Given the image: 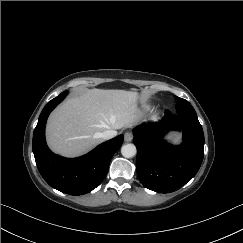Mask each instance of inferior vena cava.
<instances>
[{
    "label": "inferior vena cava",
    "mask_w": 243,
    "mask_h": 243,
    "mask_svg": "<svg viewBox=\"0 0 243 243\" xmlns=\"http://www.w3.org/2000/svg\"><path fill=\"white\" fill-rule=\"evenodd\" d=\"M117 135V131L116 130H105L102 133L99 134V137H101L104 140H109L113 137H115Z\"/></svg>",
    "instance_id": "obj_1"
}]
</instances>
